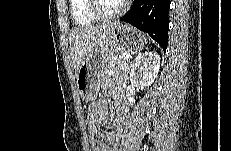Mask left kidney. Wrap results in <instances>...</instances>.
Instances as JSON below:
<instances>
[{"instance_id":"5707ae66","label":"left kidney","mask_w":231,"mask_h":151,"mask_svg":"<svg viewBox=\"0 0 231 151\" xmlns=\"http://www.w3.org/2000/svg\"><path fill=\"white\" fill-rule=\"evenodd\" d=\"M160 56L156 52L139 54L130 66V81L136 87L150 86L158 75Z\"/></svg>"}]
</instances>
